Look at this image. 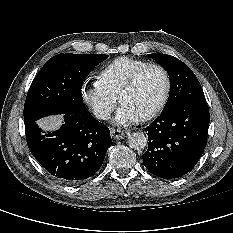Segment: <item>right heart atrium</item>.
I'll return each instance as SVG.
<instances>
[{
  "label": "right heart atrium",
  "instance_id": "right-heart-atrium-1",
  "mask_svg": "<svg viewBox=\"0 0 233 233\" xmlns=\"http://www.w3.org/2000/svg\"><path fill=\"white\" fill-rule=\"evenodd\" d=\"M81 96L94 115L102 120L108 119L117 105V97L99 78L85 81L81 87Z\"/></svg>",
  "mask_w": 233,
  "mask_h": 233
}]
</instances>
